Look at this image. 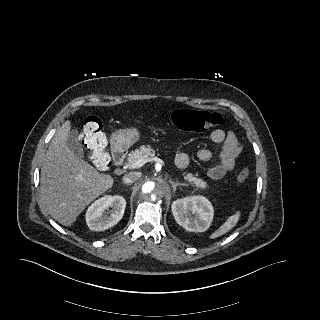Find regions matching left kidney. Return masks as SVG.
Returning a JSON list of instances; mask_svg holds the SVG:
<instances>
[{"label":"left kidney","instance_id":"obj_1","mask_svg":"<svg viewBox=\"0 0 320 320\" xmlns=\"http://www.w3.org/2000/svg\"><path fill=\"white\" fill-rule=\"evenodd\" d=\"M175 221L190 232L206 231L213 219L211 203L203 196L185 197L172 203Z\"/></svg>","mask_w":320,"mask_h":320}]
</instances>
